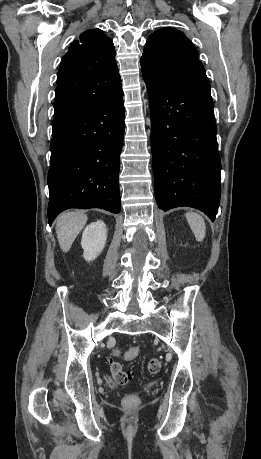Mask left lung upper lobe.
<instances>
[{
  "label": "left lung upper lobe",
  "instance_id": "1",
  "mask_svg": "<svg viewBox=\"0 0 261 459\" xmlns=\"http://www.w3.org/2000/svg\"><path fill=\"white\" fill-rule=\"evenodd\" d=\"M141 67L142 73L167 84L210 90L197 49L179 30L162 28L151 34L141 57Z\"/></svg>",
  "mask_w": 261,
  "mask_h": 459
}]
</instances>
